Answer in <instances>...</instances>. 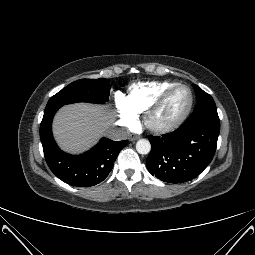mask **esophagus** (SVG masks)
<instances>
[{
    "label": "esophagus",
    "mask_w": 255,
    "mask_h": 255,
    "mask_svg": "<svg viewBox=\"0 0 255 255\" xmlns=\"http://www.w3.org/2000/svg\"><path fill=\"white\" fill-rule=\"evenodd\" d=\"M138 139H140V135L131 134V135L129 136V140H130V141H136V140H138Z\"/></svg>",
    "instance_id": "34e87169"
}]
</instances>
